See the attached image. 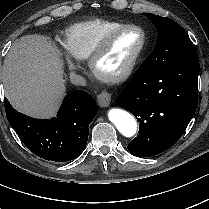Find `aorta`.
Returning <instances> with one entry per match:
<instances>
[{
  "instance_id": "obj_1",
  "label": "aorta",
  "mask_w": 209,
  "mask_h": 209,
  "mask_svg": "<svg viewBox=\"0 0 209 209\" xmlns=\"http://www.w3.org/2000/svg\"><path fill=\"white\" fill-rule=\"evenodd\" d=\"M108 117L123 136L132 137L136 133L137 122L130 113L112 108L108 111Z\"/></svg>"
}]
</instances>
